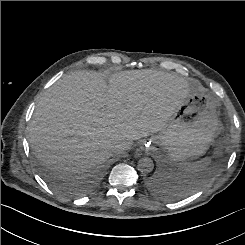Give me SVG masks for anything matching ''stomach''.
<instances>
[{
    "instance_id": "stomach-1",
    "label": "stomach",
    "mask_w": 245,
    "mask_h": 245,
    "mask_svg": "<svg viewBox=\"0 0 245 245\" xmlns=\"http://www.w3.org/2000/svg\"><path fill=\"white\" fill-rule=\"evenodd\" d=\"M219 131L215 98L192 88L152 141L161 146L171 160L190 162L207 152Z\"/></svg>"
}]
</instances>
